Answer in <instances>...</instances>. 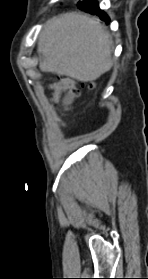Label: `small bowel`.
I'll return each instance as SVG.
<instances>
[{
    "mask_svg": "<svg viewBox=\"0 0 148 279\" xmlns=\"http://www.w3.org/2000/svg\"><path fill=\"white\" fill-rule=\"evenodd\" d=\"M77 97V95H68L64 97L61 102L65 108H69V106L72 104L74 99Z\"/></svg>",
    "mask_w": 148,
    "mask_h": 279,
    "instance_id": "1",
    "label": "small bowel"
}]
</instances>
